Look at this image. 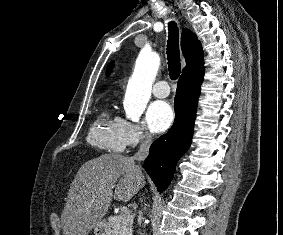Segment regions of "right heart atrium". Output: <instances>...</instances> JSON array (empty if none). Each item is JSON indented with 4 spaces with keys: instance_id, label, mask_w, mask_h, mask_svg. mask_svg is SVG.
Returning a JSON list of instances; mask_svg holds the SVG:
<instances>
[{
    "instance_id": "1",
    "label": "right heart atrium",
    "mask_w": 283,
    "mask_h": 235,
    "mask_svg": "<svg viewBox=\"0 0 283 235\" xmlns=\"http://www.w3.org/2000/svg\"><path fill=\"white\" fill-rule=\"evenodd\" d=\"M122 126L127 146H136L151 140V134L141 123H133L122 119Z\"/></svg>"
}]
</instances>
